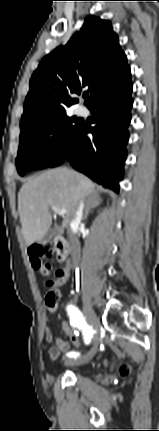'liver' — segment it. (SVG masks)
Masks as SVG:
<instances>
[{"label": "liver", "mask_w": 159, "mask_h": 431, "mask_svg": "<svg viewBox=\"0 0 159 431\" xmlns=\"http://www.w3.org/2000/svg\"><path fill=\"white\" fill-rule=\"evenodd\" d=\"M95 184L85 175L68 168L48 170L29 179L18 194V212L26 245L40 240L49 230V208L65 209L61 227L75 218L81 201L94 193Z\"/></svg>", "instance_id": "6515ba94"}]
</instances>
